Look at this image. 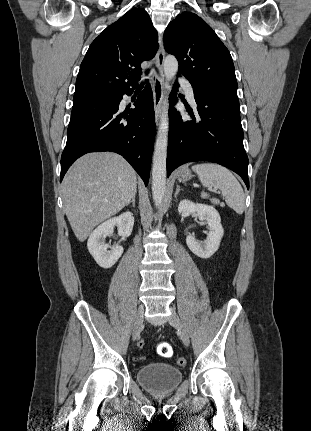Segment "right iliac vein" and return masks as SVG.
<instances>
[{
  "mask_svg": "<svg viewBox=\"0 0 311 431\" xmlns=\"http://www.w3.org/2000/svg\"><path fill=\"white\" fill-rule=\"evenodd\" d=\"M143 320H144V307L141 305L138 309L134 327H133V334H132L133 340H135L139 336L141 327L143 325Z\"/></svg>",
  "mask_w": 311,
  "mask_h": 431,
  "instance_id": "obj_1",
  "label": "right iliac vein"
}]
</instances>
